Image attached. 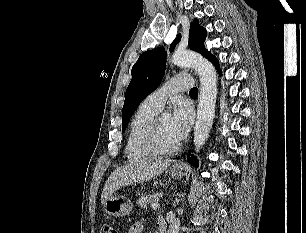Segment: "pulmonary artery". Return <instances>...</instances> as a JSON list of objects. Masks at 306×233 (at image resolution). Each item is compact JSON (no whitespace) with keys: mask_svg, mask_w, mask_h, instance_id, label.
Segmentation results:
<instances>
[{"mask_svg":"<svg viewBox=\"0 0 306 233\" xmlns=\"http://www.w3.org/2000/svg\"><path fill=\"white\" fill-rule=\"evenodd\" d=\"M193 80L188 75H176L170 78L163 86L149 94L144 100L145 103L157 110H160L165 100L178 92L190 90Z\"/></svg>","mask_w":306,"mask_h":233,"instance_id":"1","label":"pulmonary artery"}]
</instances>
